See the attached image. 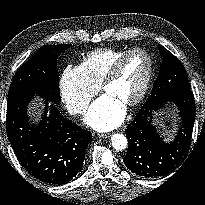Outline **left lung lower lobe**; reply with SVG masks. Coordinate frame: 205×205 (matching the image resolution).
<instances>
[{"label": "left lung lower lobe", "mask_w": 205, "mask_h": 205, "mask_svg": "<svg viewBox=\"0 0 205 205\" xmlns=\"http://www.w3.org/2000/svg\"><path fill=\"white\" fill-rule=\"evenodd\" d=\"M168 103L180 110L182 127L171 143H166L152 124L153 112ZM195 119V103L191 90L173 92L156 105L144 104L125 130L129 146L123 162L138 176L154 178L173 172L188 153Z\"/></svg>", "instance_id": "1"}]
</instances>
